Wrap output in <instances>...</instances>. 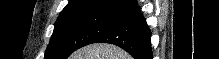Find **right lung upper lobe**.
Wrapping results in <instances>:
<instances>
[{"instance_id":"right-lung-upper-lobe-1","label":"right lung upper lobe","mask_w":219,"mask_h":59,"mask_svg":"<svg viewBox=\"0 0 219 59\" xmlns=\"http://www.w3.org/2000/svg\"><path fill=\"white\" fill-rule=\"evenodd\" d=\"M125 1L127 0H70L59 17L92 10L111 11Z\"/></svg>"}]
</instances>
